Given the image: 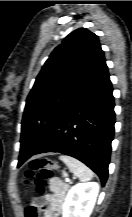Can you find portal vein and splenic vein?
<instances>
[{
  "instance_id": "obj_1",
  "label": "portal vein and splenic vein",
  "mask_w": 132,
  "mask_h": 217,
  "mask_svg": "<svg viewBox=\"0 0 132 217\" xmlns=\"http://www.w3.org/2000/svg\"><path fill=\"white\" fill-rule=\"evenodd\" d=\"M65 177H66V178H65V181H66V182H70V179L68 178V176L65 175Z\"/></svg>"
}]
</instances>
